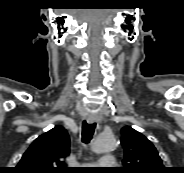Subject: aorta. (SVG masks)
<instances>
[{
    "mask_svg": "<svg viewBox=\"0 0 184 173\" xmlns=\"http://www.w3.org/2000/svg\"><path fill=\"white\" fill-rule=\"evenodd\" d=\"M116 147V139L113 134L99 135L92 144V151L95 153L111 152Z\"/></svg>",
    "mask_w": 184,
    "mask_h": 173,
    "instance_id": "aorta-1",
    "label": "aorta"
}]
</instances>
